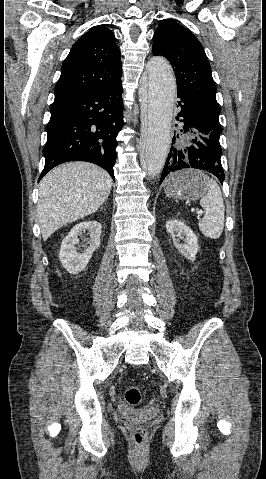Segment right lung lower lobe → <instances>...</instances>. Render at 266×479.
Here are the masks:
<instances>
[{
    "instance_id": "right-lung-lower-lobe-1",
    "label": "right lung lower lobe",
    "mask_w": 266,
    "mask_h": 479,
    "mask_svg": "<svg viewBox=\"0 0 266 479\" xmlns=\"http://www.w3.org/2000/svg\"><path fill=\"white\" fill-rule=\"evenodd\" d=\"M121 81L55 96L46 126L45 166L39 178L68 161H87L104 168L114 180L116 136L123 126Z\"/></svg>"
}]
</instances>
